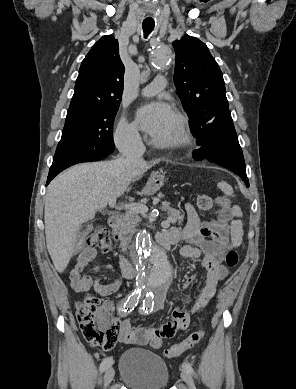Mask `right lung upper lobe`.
I'll return each mask as SVG.
<instances>
[{"mask_svg": "<svg viewBox=\"0 0 296 389\" xmlns=\"http://www.w3.org/2000/svg\"><path fill=\"white\" fill-rule=\"evenodd\" d=\"M124 71L118 41L112 35L103 36L82 61L66 119L98 108L119 106Z\"/></svg>", "mask_w": 296, "mask_h": 389, "instance_id": "right-lung-upper-lobe-1", "label": "right lung upper lobe"}]
</instances>
